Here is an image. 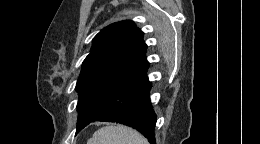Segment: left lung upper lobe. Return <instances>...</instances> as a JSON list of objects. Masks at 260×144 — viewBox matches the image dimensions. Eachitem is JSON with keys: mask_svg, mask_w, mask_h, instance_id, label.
Masks as SVG:
<instances>
[{"mask_svg": "<svg viewBox=\"0 0 260 144\" xmlns=\"http://www.w3.org/2000/svg\"><path fill=\"white\" fill-rule=\"evenodd\" d=\"M146 48L143 32L130 20L113 23L94 37L75 88L79 93L76 133L135 73L149 65Z\"/></svg>", "mask_w": 260, "mask_h": 144, "instance_id": "left-lung-upper-lobe-1", "label": "left lung upper lobe"}]
</instances>
